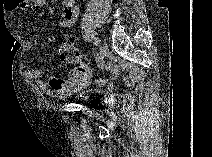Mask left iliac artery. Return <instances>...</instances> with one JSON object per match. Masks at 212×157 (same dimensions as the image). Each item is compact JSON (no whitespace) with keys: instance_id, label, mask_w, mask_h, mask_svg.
Masks as SVG:
<instances>
[{"instance_id":"44dca946","label":"left iliac artery","mask_w":212,"mask_h":157,"mask_svg":"<svg viewBox=\"0 0 212 157\" xmlns=\"http://www.w3.org/2000/svg\"><path fill=\"white\" fill-rule=\"evenodd\" d=\"M94 44L96 46H100V40L98 38H94Z\"/></svg>"}]
</instances>
